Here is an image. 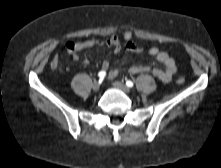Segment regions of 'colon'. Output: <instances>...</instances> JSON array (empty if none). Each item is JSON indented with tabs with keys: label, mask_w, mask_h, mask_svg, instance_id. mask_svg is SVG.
<instances>
[{
	"label": "colon",
	"mask_w": 221,
	"mask_h": 168,
	"mask_svg": "<svg viewBox=\"0 0 221 168\" xmlns=\"http://www.w3.org/2000/svg\"><path fill=\"white\" fill-rule=\"evenodd\" d=\"M119 37L126 42H132L135 39V33L133 31L121 30L119 32ZM58 65H59V59L55 57L51 62V67L56 68ZM176 82L177 84L181 85L184 83V79L178 78Z\"/></svg>",
	"instance_id": "obj_1"
}]
</instances>
